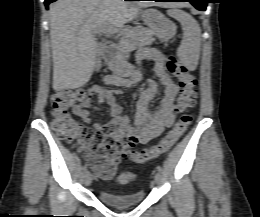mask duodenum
<instances>
[{
  "label": "duodenum",
  "instance_id": "410a0bca",
  "mask_svg": "<svg viewBox=\"0 0 260 217\" xmlns=\"http://www.w3.org/2000/svg\"><path fill=\"white\" fill-rule=\"evenodd\" d=\"M104 57L112 68L117 69L119 67L120 58L114 47L108 46L104 51Z\"/></svg>",
  "mask_w": 260,
  "mask_h": 217
}]
</instances>
